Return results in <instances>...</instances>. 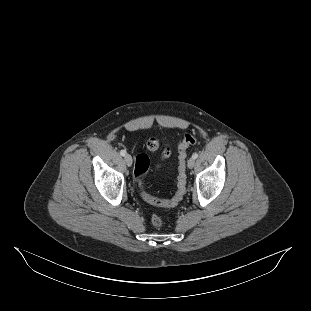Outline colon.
<instances>
[{"label":"colon","mask_w":311,"mask_h":311,"mask_svg":"<svg viewBox=\"0 0 311 311\" xmlns=\"http://www.w3.org/2000/svg\"><path fill=\"white\" fill-rule=\"evenodd\" d=\"M197 142V137L194 134H186L184 136L183 141L179 145V166H178V178H177V190L174 196L171 199H160L154 197L147 193L144 189L142 177L146 173L149 167V158L146 154H139L135 160V177L137 179L138 190L141 197L147 201L148 203L159 206V207H174L177 206L183 199L186 193V171H185V163L187 156V149L194 145ZM151 150H155L157 148V142L151 141L148 144ZM151 222L155 227H162L163 220L157 215L153 214L151 217Z\"/></svg>","instance_id":"5ec220e1"}]
</instances>
